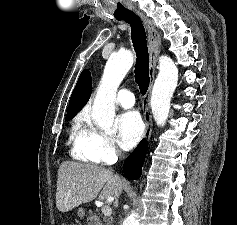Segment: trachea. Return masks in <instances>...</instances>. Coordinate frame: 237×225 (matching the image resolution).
<instances>
[{
	"label": "trachea",
	"instance_id": "trachea-1",
	"mask_svg": "<svg viewBox=\"0 0 237 225\" xmlns=\"http://www.w3.org/2000/svg\"><path fill=\"white\" fill-rule=\"evenodd\" d=\"M117 20H124L131 27V38L136 52L135 81L140 92L144 95L149 87V54L146 44V33L140 18L135 13H129L118 17Z\"/></svg>",
	"mask_w": 237,
	"mask_h": 225
}]
</instances>
